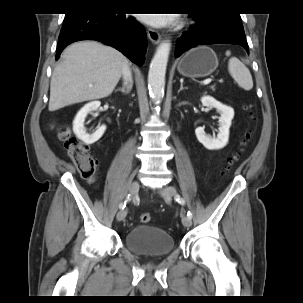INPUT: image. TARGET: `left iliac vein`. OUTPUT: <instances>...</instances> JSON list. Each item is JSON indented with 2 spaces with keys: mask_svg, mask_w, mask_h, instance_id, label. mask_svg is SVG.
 <instances>
[{
  "mask_svg": "<svg viewBox=\"0 0 303 303\" xmlns=\"http://www.w3.org/2000/svg\"><path fill=\"white\" fill-rule=\"evenodd\" d=\"M161 195L164 197L165 201L169 203L171 201L172 196L176 195V189L172 186H167L161 190ZM182 224L185 227H190L192 225V220L188 216H184L182 218Z\"/></svg>",
  "mask_w": 303,
  "mask_h": 303,
  "instance_id": "4c4485c4",
  "label": "left iliac vein"
}]
</instances>
